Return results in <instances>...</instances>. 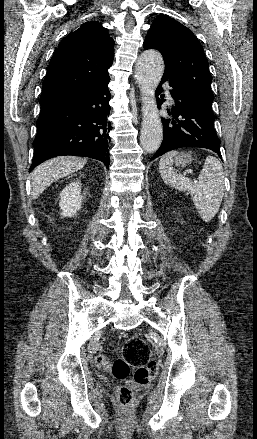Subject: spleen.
Wrapping results in <instances>:
<instances>
[{
	"mask_svg": "<svg viewBox=\"0 0 257 439\" xmlns=\"http://www.w3.org/2000/svg\"><path fill=\"white\" fill-rule=\"evenodd\" d=\"M177 151L165 154L159 162L161 178L168 186L188 191L201 219L210 222L218 213L224 196V172L221 162L208 156L197 182L177 174L172 169L173 157Z\"/></svg>",
	"mask_w": 257,
	"mask_h": 439,
	"instance_id": "3e777b00",
	"label": "spleen"
}]
</instances>
